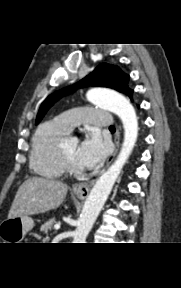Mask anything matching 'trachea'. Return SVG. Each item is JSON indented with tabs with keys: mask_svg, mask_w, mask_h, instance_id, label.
<instances>
[{
	"mask_svg": "<svg viewBox=\"0 0 181 288\" xmlns=\"http://www.w3.org/2000/svg\"><path fill=\"white\" fill-rule=\"evenodd\" d=\"M109 129L112 130V131H115V127L114 126H110Z\"/></svg>",
	"mask_w": 181,
	"mask_h": 288,
	"instance_id": "obj_1",
	"label": "trachea"
}]
</instances>
